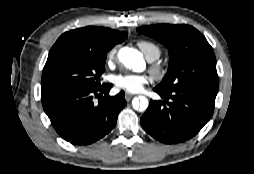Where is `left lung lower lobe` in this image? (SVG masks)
<instances>
[{
  "mask_svg": "<svg viewBox=\"0 0 254 174\" xmlns=\"http://www.w3.org/2000/svg\"><path fill=\"white\" fill-rule=\"evenodd\" d=\"M163 101H150L140 119L143 129L165 144L194 137L210 120L218 91L186 86L173 92L154 88Z\"/></svg>",
  "mask_w": 254,
  "mask_h": 174,
  "instance_id": "left-lung-lower-lobe-1",
  "label": "left lung lower lobe"
}]
</instances>
